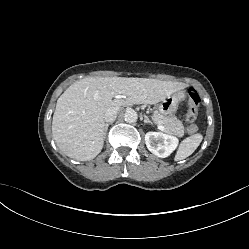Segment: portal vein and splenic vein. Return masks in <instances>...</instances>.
<instances>
[{
	"label": "portal vein and splenic vein",
	"mask_w": 249,
	"mask_h": 249,
	"mask_svg": "<svg viewBox=\"0 0 249 249\" xmlns=\"http://www.w3.org/2000/svg\"><path fill=\"white\" fill-rule=\"evenodd\" d=\"M116 98H117V99H121V98H123V96L118 95V96H116ZM157 128H158L159 130H161V131H165V127L162 126V125H157Z\"/></svg>",
	"instance_id": "18ae733b"
}]
</instances>
